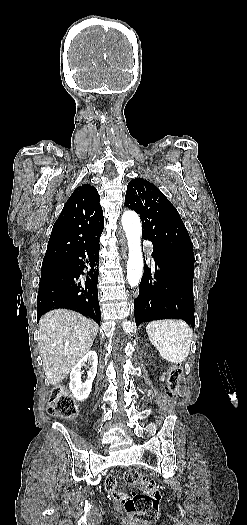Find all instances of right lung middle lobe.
I'll use <instances>...</instances> for the list:
<instances>
[{
    "instance_id": "dd1d6c3e",
    "label": "right lung middle lobe",
    "mask_w": 247,
    "mask_h": 525,
    "mask_svg": "<svg viewBox=\"0 0 247 525\" xmlns=\"http://www.w3.org/2000/svg\"><path fill=\"white\" fill-rule=\"evenodd\" d=\"M65 260V256H54L44 262L42 267L52 266L61 263Z\"/></svg>"
}]
</instances>
